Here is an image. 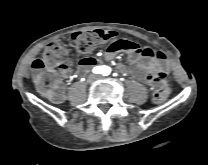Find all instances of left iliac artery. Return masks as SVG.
<instances>
[{
  "mask_svg": "<svg viewBox=\"0 0 208 165\" xmlns=\"http://www.w3.org/2000/svg\"><path fill=\"white\" fill-rule=\"evenodd\" d=\"M109 73H110V68L107 66H104L103 75L107 76V75H109Z\"/></svg>",
  "mask_w": 208,
  "mask_h": 165,
  "instance_id": "1",
  "label": "left iliac artery"
}]
</instances>
